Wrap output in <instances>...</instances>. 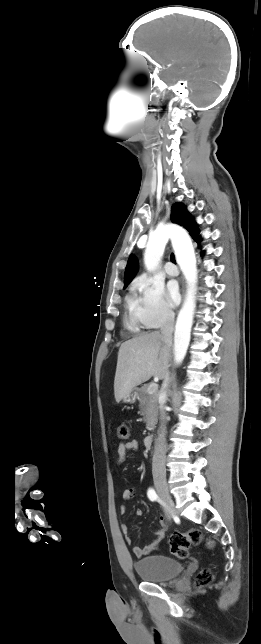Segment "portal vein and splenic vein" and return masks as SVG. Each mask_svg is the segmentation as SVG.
<instances>
[{"mask_svg":"<svg viewBox=\"0 0 261 644\" xmlns=\"http://www.w3.org/2000/svg\"><path fill=\"white\" fill-rule=\"evenodd\" d=\"M157 390H158V385H157V384H150V385L148 386V389H147V391H148V393H149V394H153V393H154V392H156Z\"/></svg>","mask_w":261,"mask_h":644,"instance_id":"18ae733b","label":"portal vein and splenic vein"}]
</instances>
